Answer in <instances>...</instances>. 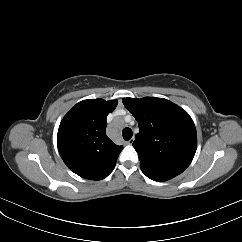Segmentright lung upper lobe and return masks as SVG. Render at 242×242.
Listing matches in <instances>:
<instances>
[{
    "mask_svg": "<svg viewBox=\"0 0 242 242\" xmlns=\"http://www.w3.org/2000/svg\"><path fill=\"white\" fill-rule=\"evenodd\" d=\"M117 106L116 100L88 99L77 103L63 118L57 145L65 164L77 175L101 180L115 167L123 147L106 135V117Z\"/></svg>",
    "mask_w": 242,
    "mask_h": 242,
    "instance_id": "obj_1",
    "label": "right lung upper lobe"
}]
</instances>
